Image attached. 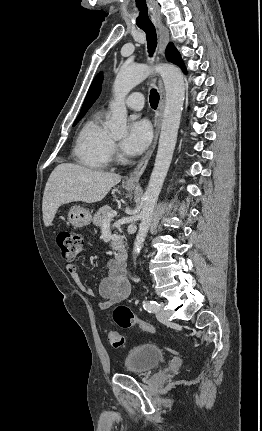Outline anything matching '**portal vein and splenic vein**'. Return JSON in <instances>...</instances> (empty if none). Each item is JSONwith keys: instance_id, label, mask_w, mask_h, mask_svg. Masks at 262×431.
<instances>
[{"instance_id": "1", "label": "portal vein and splenic vein", "mask_w": 262, "mask_h": 431, "mask_svg": "<svg viewBox=\"0 0 262 431\" xmlns=\"http://www.w3.org/2000/svg\"><path fill=\"white\" fill-rule=\"evenodd\" d=\"M116 212H110V213H108L107 214V217L105 218V220H104V223H103V225H109L110 224V222H111V219L114 217V216H116Z\"/></svg>"}]
</instances>
